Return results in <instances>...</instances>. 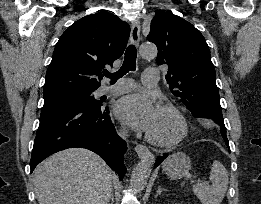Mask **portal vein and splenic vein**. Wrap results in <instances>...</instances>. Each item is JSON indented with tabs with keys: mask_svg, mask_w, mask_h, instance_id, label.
<instances>
[{
	"mask_svg": "<svg viewBox=\"0 0 261 204\" xmlns=\"http://www.w3.org/2000/svg\"><path fill=\"white\" fill-rule=\"evenodd\" d=\"M194 183V181H192ZM197 183L207 184L206 181H198Z\"/></svg>",
	"mask_w": 261,
	"mask_h": 204,
	"instance_id": "1",
	"label": "portal vein and splenic vein"
}]
</instances>
